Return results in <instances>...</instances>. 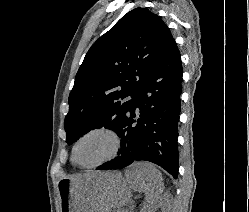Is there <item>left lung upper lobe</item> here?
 I'll list each match as a JSON object with an SVG mask.
<instances>
[{
    "mask_svg": "<svg viewBox=\"0 0 249 212\" xmlns=\"http://www.w3.org/2000/svg\"><path fill=\"white\" fill-rule=\"evenodd\" d=\"M172 41L166 24L147 8L128 12L101 36L87 52L69 95L66 142L71 145L103 126L118 133L134 96Z\"/></svg>",
    "mask_w": 249,
    "mask_h": 212,
    "instance_id": "5c2ea615",
    "label": "left lung upper lobe"
}]
</instances>
